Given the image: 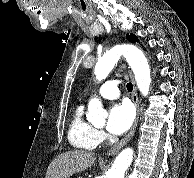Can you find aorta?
<instances>
[{
	"label": "aorta",
	"instance_id": "762f6f07",
	"mask_svg": "<svg viewBox=\"0 0 194 178\" xmlns=\"http://www.w3.org/2000/svg\"><path fill=\"white\" fill-rule=\"evenodd\" d=\"M123 55L130 65L136 79L138 89L143 96H147L151 84L150 67L143 52L134 45L123 44L113 47L107 51L95 65L94 74L96 79L101 81L105 79L114 65ZM106 112L101 102L94 98L88 104L87 119L91 123L104 122ZM133 150L126 148L122 150L115 158L111 169L108 171L107 178H124L125 172L132 163Z\"/></svg>",
	"mask_w": 194,
	"mask_h": 178
}]
</instances>
